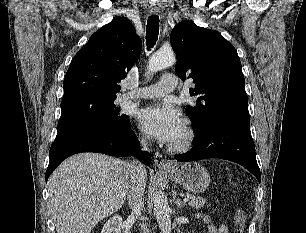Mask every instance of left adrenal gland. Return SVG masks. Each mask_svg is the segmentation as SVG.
<instances>
[{"label":"left adrenal gland","instance_id":"1","mask_svg":"<svg viewBox=\"0 0 306 233\" xmlns=\"http://www.w3.org/2000/svg\"><path fill=\"white\" fill-rule=\"evenodd\" d=\"M176 192H173V202L176 204L177 208L182 209L185 206V203L182 202L179 198H176Z\"/></svg>","mask_w":306,"mask_h":233}]
</instances>
